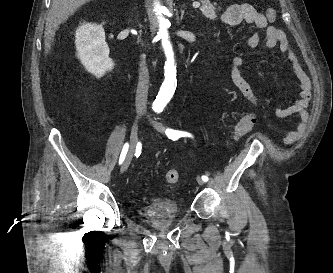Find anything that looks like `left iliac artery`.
Here are the masks:
<instances>
[{
    "instance_id": "left-iliac-artery-1",
    "label": "left iliac artery",
    "mask_w": 333,
    "mask_h": 273,
    "mask_svg": "<svg viewBox=\"0 0 333 273\" xmlns=\"http://www.w3.org/2000/svg\"><path fill=\"white\" fill-rule=\"evenodd\" d=\"M166 135L169 137V139H172L173 141L177 140L180 137H193L190 133L185 132V131H178V130H173V129H166L165 131ZM202 180L207 182L208 177L203 175Z\"/></svg>"
}]
</instances>
